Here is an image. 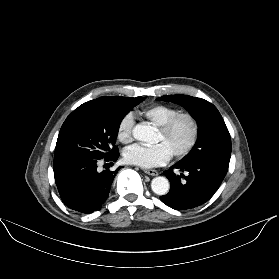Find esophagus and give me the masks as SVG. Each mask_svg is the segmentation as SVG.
<instances>
[{
    "label": "esophagus",
    "instance_id": "obj_1",
    "mask_svg": "<svg viewBox=\"0 0 279 279\" xmlns=\"http://www.w3.org/2000/svg\"><path fill=\"white\" fill-rule=\"evenodd\" d=\"M144 172L150 176H157L158 172L156 170L153 169H144Z\"/></svg>",
    "mask_w": 279,
    "mask_h": 279
}]
</instances>
